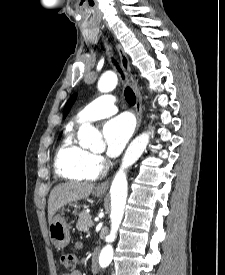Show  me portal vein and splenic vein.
<instances>
[{"mask_svg": "<svg viewBox=\"0 0 225 275\" xmlns=\"http://www.w3.org/2000/svg\"><path fill=\"white\" fill-rule=\"evenodd\" d=\"M90 223H91V225L93 226V224H94L93 221H91Z\"/></svg>", "mask_w": 225, "mask_h": 275, "instance_id": "portal-vein-and-splenic-vein-1", "label": "portal vein and splenic vein"}]
</instances>
